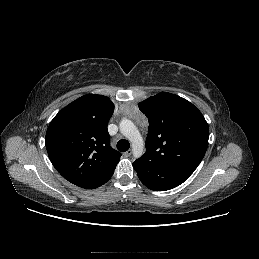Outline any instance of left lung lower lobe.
<instances>
[{"label": "left lung lower lobe", "mask_w": 259, "mask_h": 259, "mask_svg": "<svg viewBox=\"0 0 259 259\" xmlns=\"http://www.w3.org/2000/svg\"><path fill=\"white\" fill-rule=\"evenodd\" d=\"M133 167L141 182L154 191L173 189L186 181L191 175L141 158L133 163Z\"/></svg>", "instance_id": "0a47b994"}]
</instances>
